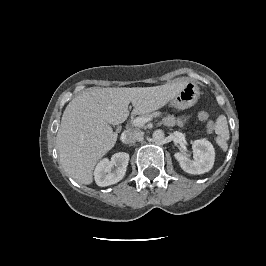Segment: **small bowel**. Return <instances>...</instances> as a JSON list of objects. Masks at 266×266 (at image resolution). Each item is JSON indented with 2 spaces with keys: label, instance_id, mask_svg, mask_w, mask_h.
<instances>
[{
  "label": "small bowel",
  "instance_id": "small-bowel-1",
  "mask_svg": "<svg viewBox=\"0 0 266 266\" xmlns=\"http://www.w3.org/2000/svg\"><path fill=\"white\" fill-rule=\"evenodd\" d=\"M166 122L168 124H175V123L182 124L183 123V119H181V118L175 119L174 117L170 116V117H167Z\"/></svg>",
  "mask_w": 266,
  "mask_h": 266
}]
</instances>
